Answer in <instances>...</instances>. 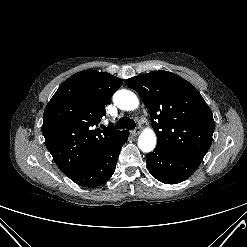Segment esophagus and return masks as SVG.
Segmentation results:
<instances>
[{
	"instance_id": "1",
	"label": "esophagus",
	"mask_w": 247,
	"mask_h": 247,
	"mask_svg": "<svg viewBox=\"0 0 247 247\" xmlns=\"http://www.w3.org/2000/svg\"><path fill=\"white\" fill-rule=\"evenodd\" d=\"M141 133V128L140 127H137V128H135L133 131H132V134L134 135V136H136V135H138V134H140Z\"/></svg>"
}]
</instances>
